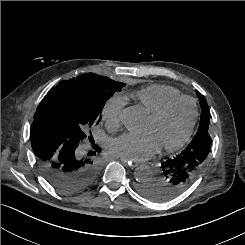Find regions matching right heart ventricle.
Returning a JSON list of instances; mask_svg holds the SVG:
<instances>
[{"label": "right heart ventricle", "mask_w": 245, "mask_h": 245, "mask_svg": "<svg viewBox=\"0 0 245 245\" xmlns=\"http://www.w3.org/2000/svg\"><path fill=\"white\" fill-rule=\"evenodd\" d=\"M178 90L166 85H150L136 92L135 97L139 104L151 113L158 109L166 101L182 96Z\"/></svg>", "instance_id": "right-heart-ventricle-1"}]
</instances>
